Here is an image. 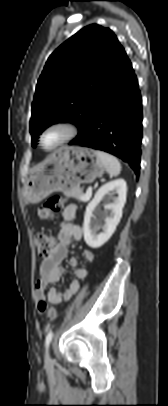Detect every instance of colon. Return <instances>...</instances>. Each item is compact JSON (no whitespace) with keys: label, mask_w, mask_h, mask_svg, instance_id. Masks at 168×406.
Here are the masks:
<instances>
[{"label":"colon","mask_w":168,"mask_h":406,"mask_svg":"<svg viewBox=\"0 0 168 406\" xmlns=\"http://www.w3.org/2000/svg\"><path fill=\"white\" fill-rule=\"evenodd\" d=\"M64 202L65 200L62 196H50L40 207L37 208L36 214L41 220H52L62 210ZM35 243L39 257L46 258L56 247L57 240L52 235L39 233L35 237ZM38 310L48 320H55L57 318L56 308L48 304L43 298L38 300Z\"/></svg>","instance_id":"obj_1"}]
</instances>
